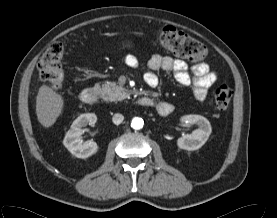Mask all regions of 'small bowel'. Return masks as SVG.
I'll return each instance as SVG.
<instances>
[{"label": "small bowel", "mask_w": 277, "mask_h": 218, "mask_svg": "<svg viewBox=\"0 0 277 218\" xmlns=\"http://www.w3.org/2000/svg\"><path fill=\"white\" fill-rule=\"evenodd\" d=\"M125 63L132 68L139 65V60L134 55H127ZM149 71L145 72V83L150 87H156L158 77L156 71L173 72L175 80L183 86H191L194 97L198 101H204L208 94V89L216 82L217 74L209 69L206 63L195 64L189 69L188 64L178 58L154 54L148 61ZM168 103L166 101H161ZM172 111V106H171ZM159 113V112H158ZM161 114V113H159ZM162 115V114H161Z\"/></svg>", "instance_id": "small-bowel-1"}]
</instances>
